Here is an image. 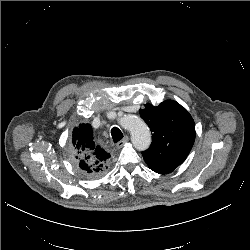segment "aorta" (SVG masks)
I'll use <instances>...</instances> for the list:
<instances>
[{"instance_id":"1","label":"aorta","mask_w":250,"mask_h":250,"mask_svg":"<svg viewBox=\"0 0 250 250\" xmlns=\"http://www.w3.org/2000/svg\"><path fill=\"white\" fill-rule=\"evenodd\" d=\"M119 124L131 134V141L137 150H146L151 144V134L147 125L138 117L128 115L119 119Z\"/></svg>"}]
</instances>
